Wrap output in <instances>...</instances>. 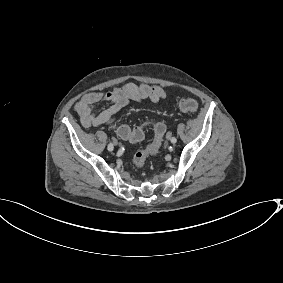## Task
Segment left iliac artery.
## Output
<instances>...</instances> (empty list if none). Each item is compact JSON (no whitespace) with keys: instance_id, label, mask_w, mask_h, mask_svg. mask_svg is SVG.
<instances>
[{"instance_id":"44dca946","label":"left iliac artery","mask_w":283,"mask_h":283,"mask_svg":"<svg viewBox=\"0 0 283 283\" xmlns=\"http://www.w3.org/2000/svg\"><path fill=\"white\" fill-rule=\"evenodd\" d=\"M171 142H172V143H176V142H177V139H176L175 137H172V138H171Z\"/></svg>"}]
</instances>
